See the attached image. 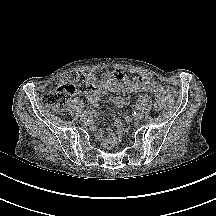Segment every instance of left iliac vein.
<instances>
[{"instance_id": "left-iliac-vein-1", "label": "left iliac vein", "mask_w": 216, "mask_h": 216, "mask_svg": "<svg viewBox=\"0 0 216 216\" xmlns=\"http://www.w3.org/2000/svg\"><path fill=\"white\" fill-rule=\"evenodd\" d=\"M134 118H135L136 120H142V119L144 118V114L141 113V112H138V113H137V116H134Z\"/></svg>"}]
</instances>
